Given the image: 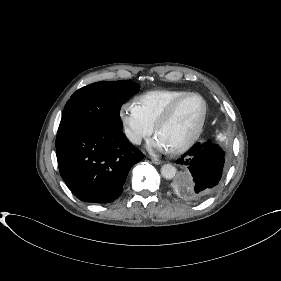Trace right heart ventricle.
<instances>
[{
    "label": "right heart ventricle",
    "mask_w": 281,
    "mask_h": 281,
    "mask_svg": "<svg viewBox=\"0 0 281 281\" xmlns=\"http://www.w3.org/2000/svg\"><path fill=\"white\" fill-rule=\"evenodd\" d=\"M185 93L187 91L175 89L151 90L139 95L135 102L145 118L154 126L167 106Z\"/></svg>",
    "instance_id": "right-heart-ventricle-1"
}]
</instances>
